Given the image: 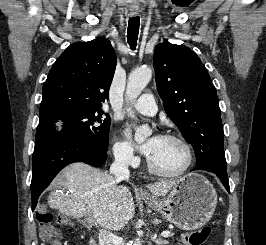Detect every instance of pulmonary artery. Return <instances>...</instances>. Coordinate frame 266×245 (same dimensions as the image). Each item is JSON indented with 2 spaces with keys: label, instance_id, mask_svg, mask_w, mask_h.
<instances>
[{
  "label": "pulmonary artery",
  "instance_id": "pulmonary-artery-1",
  "mask_svg": "<svg viewBox=\"0 0 266 245\" xmlns=\"http://www.w3.org/2000/svg\"><path fill=\"white\" fill-rule=\"evenodd\" d=\"M154 100V96H138L137 102H133L131 104V107L142 114L153 116L157 113L158 110L157 105L155 103H152V101Z\"/></svg>",
  "mask_w": 266,
  "mask_h": 245
}]
</instances>
